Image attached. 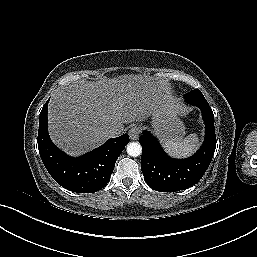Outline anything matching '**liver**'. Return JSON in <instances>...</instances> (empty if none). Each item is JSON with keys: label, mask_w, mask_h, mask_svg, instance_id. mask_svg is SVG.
Returning a JSON list of instances; mask_svg holds the SVG:
<instances>
[{"label": "liver", "mask_w": 257, "mask_h": 257, "mask_svg": "<svg viewBox=\"0 0 257 257\" xmlns=\"http://www.w3.org/2000/svg\"><path fill=\"white\" fill-rule=\"evenodd\" d=\"M161 108L177 114L164 85L147 76L79 81L53 94L48 106L49 135L62 151L79 156L102 145L107 131L120 134L124 124L144 121Z\"/></svg>", "instance_id": "liver-1"}]
</instances>
